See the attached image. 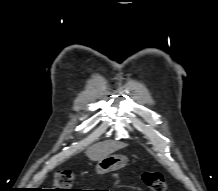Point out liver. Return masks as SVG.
Segmentation results:
<instances>
[{
  "label": "liver",
  "instance_id": "liver-1",
  "mask_svg": "<svg viewBox=\"0 0 218 191\" xmlns=\"http://www.w3.org/2000/svg\"><path fill=\"white\" fill-rule=\"evenodd\" d=\"M127 144L123 142H116L114 140H106L103 142H99L97 144L92 145L86 151V155L92 161L102 160L112 153L125 148Z\"/></svg>",
  "mask_w": 218,
  "mask_h": 191
}]
</instances>
